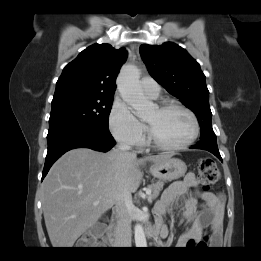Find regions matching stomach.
Listing matches in <instances>:
<instances>
[{"label":"stomach","mask_w":261,"mask_h":261,"mask_svg":"<svg viewBox=\"0 0 261 261\" xmlns=\"http://www.w3.org/2000/svg\"><path fill=\"white\" fill-rule=\"evenodd\" d=\"M149 171L161 181H172L182 177L187 171V166L181 159L169 156L151 166Z\"/></svg>","instance_id":"0dacf381"}]
</instances>
